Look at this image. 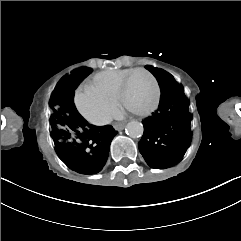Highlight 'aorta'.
Wrapping results in <instances>:
<instances>
[{
	"label": "aorta",
	"instance_id": "aorta-1",
	"mask_svg": "<svg viewBox=\"0 0 241 241\" xmlns=\"http://www.w3.org/2000/svg\"><path fill=\"white\" fill-rule=\"evenodd\" d=\"M144 127L141 122L131 121L127 124L126 133L131 138H139L143 135Z\"/></svg>",
	"mask_w": 241,
	"mask_h": 241
}]
</instances>
